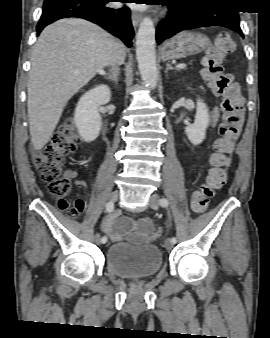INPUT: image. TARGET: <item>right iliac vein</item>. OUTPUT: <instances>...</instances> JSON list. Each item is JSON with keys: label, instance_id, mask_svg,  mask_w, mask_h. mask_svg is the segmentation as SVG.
<instances>
[{"label": "right iliac vein", "instance_id": "right-iliac-vein-1", "mask_svg": "<svg viewBox=\"0 0 270 338\" xmlns=\"http://www.w3.org/2000/svg\"><path fill=\"white\" fill-rule=\"evenodd\" d=\"M119 197V193L117 191L115 192H112L110 195H109V200L114 202L118 199ZM93 240L96 244H100V235L99 234H96L94 237H93Z\"/></svg>", "mask_w": 270, "mask_h": 338}]
</instances>
